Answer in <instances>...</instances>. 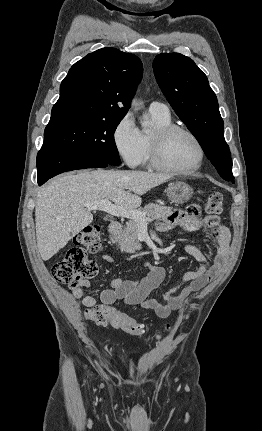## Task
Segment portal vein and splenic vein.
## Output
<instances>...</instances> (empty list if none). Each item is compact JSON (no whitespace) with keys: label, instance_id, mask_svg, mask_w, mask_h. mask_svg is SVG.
Returning <instances> with one entry per match:
<instances>
[{"label":"portal vein and splenic vein","instance_id":"portal-vein-and-splenic-vein-1","mask_svg":"<svg viewBox=\"0 0 262 431\" xmlns=\"http://www.w3.org/2000/svg\"><path fill=\"white\" fill-rule=\"evenodd\" d=\"M84 206L89 211L101 210L113 216H120V217L133 219L140 225H146L148 221V218L146 217L145 213L138 210H131L120 206H116L112 204L109 200L90 202V203H86Z\"/></svg>","mask_w":262,"mask_h":431}]
</instances>
